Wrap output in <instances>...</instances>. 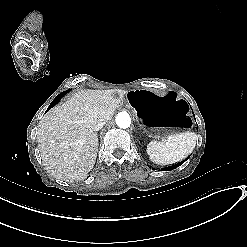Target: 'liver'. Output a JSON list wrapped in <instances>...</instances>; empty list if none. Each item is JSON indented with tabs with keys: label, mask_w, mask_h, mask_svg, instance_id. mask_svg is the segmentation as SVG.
<instances>
[{
	"label": "liver",
	"mask_w": 247,
	"mask_h": 247,
	"mask_svg": "<svg viewBox=\"0 0 247 247\" xmlns=\"http://www.w3.org/2000/svg\"><path fill=\"white\" fill-rule=\"evenodd\" d=\"M119 107L108 91L80 90L40 120L37 142L43 165L54 178L84 180L98 152V122H108Z\"/></svg>",
	"instance_id": "liver-1"
}]
</instances>
